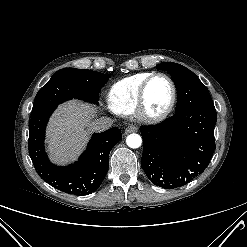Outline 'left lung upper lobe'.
<instances>
[{"mask_svg": "<svg viewBox=\"0 0 247 247\" xmlns=\"http://www.w3.org/2000/svg\"><path fill=\"white\" fill-rule=\"evenodd\" d=\"M157 67L169 71L175 80L178 89L175 113L196 105L213 103L207 87L186 67L173 62L161 63Z\"/></svg>", "mask_w": 247, "mask_h": 247, "instance_id": "obj_1", "label": "left lung upper lobe"}]
</instances>
